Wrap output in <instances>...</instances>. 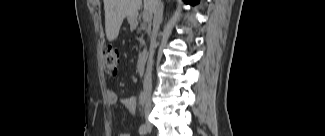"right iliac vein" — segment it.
Returning a JSON list of instances; mask_svg holds the SVG:
<instances>
[{
    "label": "right iliac vein",
    "mask_w": 325,
    "mask_h": 136,
    "mask_svg": "<svg viewBox=\"0 0 325 136\" xmlns=\"http://www.w3.org/2000/svg\"><path fill=\"white\" fill-rule=\"evenodd\" d=\"M146 125H147V127H150L151 126V124H150L149 121L146 122Z\"/></svg>",
    "instance_id": "1"
}]
</instances>
